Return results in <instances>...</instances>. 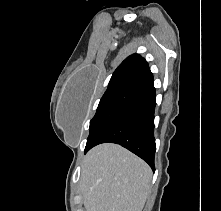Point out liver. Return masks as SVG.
Returning a JSON list of instances; mask_svg holds the SVG:
<instances>
[{
    "mask_svg": "<svg viewBox=\"0 0 221 211\" xmlns=\"http://www.w3.org/2000/svg\"><path fill=\"white\" fill-rule=\"evenodd\" d=\"M152 178L150 167L117 144L91 149L81 165L80 190L86 211H142Z\"/></svg>",
    "mask_w": 221,
    "mask_h": 211,
    "instance_id": "1",
    "label": "liver"
}]
</instances>
